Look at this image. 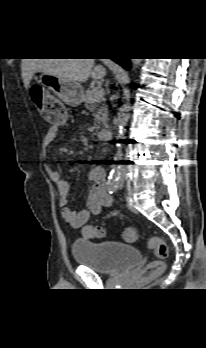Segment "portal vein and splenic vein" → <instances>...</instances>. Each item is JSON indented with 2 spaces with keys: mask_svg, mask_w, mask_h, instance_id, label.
I'll return each mask as SVG.
<instances>
[{
  "mask_svg": "<svg viewBox=\"0 0 206 348\" xmlns=\"http://www.w3.org/2000/svg\"><path fill=\"white\" fill-rule=\"evenodd\" d=\"M104 95V90L102 88L96 87L92 90V100L98 101L100 100Z\"/></svg>",
  "mask_w": 206,
  "mask_h": 348,
  "instance_id": "1",
  "label": "portal vein and splenic vein"
}]
</instances>
